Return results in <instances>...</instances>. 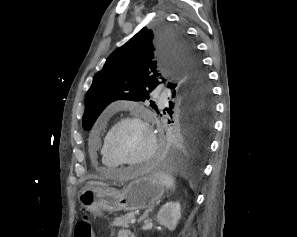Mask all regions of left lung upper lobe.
Listing matches in <instances>:
<instances>
[{
  "label": "left lung upper lobe",
  "instance_id": "obj_1",
  "mask_svg": "<svg viewBox=\"0 0 297 237\" xmlns=\"http://www.w3.org/2000/svg\"><path fill=\"white\" fill-rule=\"evenodd\" d=\"M174 93L171 100L197 107L211 101V90L200 59L178 28H142L114 51L93 79L85 98L82 126L92 128L103 109L117 99L146 101L161 82ZM150 106L159 114L155 102Z\"/></svg>",
  "mask_w": 297,
  "mask_h": 237
}]
</instances>
